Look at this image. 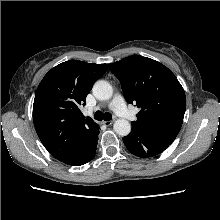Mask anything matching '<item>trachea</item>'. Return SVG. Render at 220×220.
I'll return each mask as SVG.
<instances>
[{"label": "trachea", "mask_w": 220, "mask_h": 220, "mask_svg": "<svg viewBox=\"0 0 220 220\" xmlns=\"http://www.w3.org/2000/svg\"><path fill=\"white\" fill-rule=\"evenodd\" d=\"M94 118L98 121H101V120L109 121L112 119V115L109 113H102L101 111H97L94 114Z\"/></svg>", "instance_id": "trachea-1"}]
</instances>
